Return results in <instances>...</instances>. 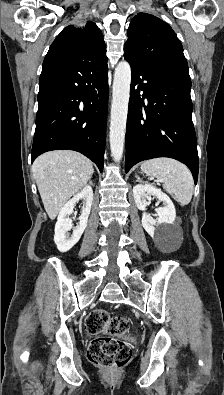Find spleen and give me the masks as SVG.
Listing matches in <instances>:
<instances>
[{
	"label": "spleen",
	"mask_w": 224,
	"mask_h": 395,
	"mask_svg": "<svg viewBox=\"0 0 224 395\" xmlns=\"http://www.w3.org/2000/svg\"><path fill=\"white\" fill-rule=\"evenodd\" d=\"M141 170L162 182L163 188L182 205L191 201L194 181L190 170L183 163L170 158H155L144 161Z\"/></svg>",
	"instance_id": "obj_1"
}]
</instances>
